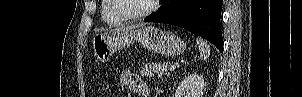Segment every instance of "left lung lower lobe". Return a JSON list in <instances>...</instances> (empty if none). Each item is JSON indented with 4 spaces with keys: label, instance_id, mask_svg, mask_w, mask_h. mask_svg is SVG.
<instances>
[{
    "label": "left lung lower lobe",
    "instance_id": "0a47b994",
    "mask_svg": "<svg viewBox=\"0 0 302 97\" xmlns=\"http://www.w3.org/2000/svg\"><path fill=\"white\" fill-rule=\"evenodd\" d=\"M223 0H163L144 20L168 23L207 39L223 52L220 16Z\"/></svg>",
    "mask_w": 302,
    "mask_h": 97
}]
</instances>
